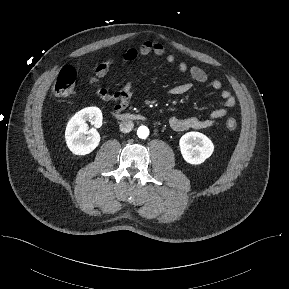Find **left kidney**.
Instances as JSON below:
<instances>
[{"mask_svg": "<svg viewBox=\"0 0 289 289\" xmlns=\"http://www.w3.org/2000/svg\"><path fill=\"white\" fill-rule=\"evenodd\" d=\"M180 151L184 160L192 165H199L209 158L213 151L212 141L199 132H188L179 141Z\"/></svg>", "mask_w": 289, "mask_h": 289, "instance_id": "1", "label": "left kidney"}]
</instances>
